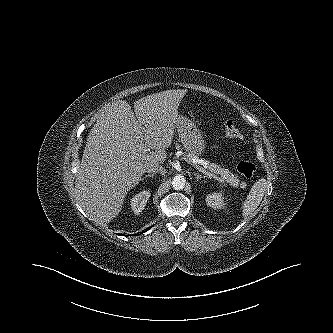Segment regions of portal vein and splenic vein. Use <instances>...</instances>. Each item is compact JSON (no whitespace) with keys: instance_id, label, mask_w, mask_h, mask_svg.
<instances>
[{"instance_id":"18ae733b","label":"portal vein and splenic vein","mask_w":333,"mask_h":333,"mask_svg":"<svg viewBox=\"0 0 333 333\" xmlns=\"http://www.w3.org/2000/svg\"><path fill=\"white\" fill-rule=\"evenodd\" d=\"M146 151H149V149H147ZM191 161H192V163H194V164H202V165L207 164V163L204 162V160H202V159H196V158H194V159H191ZM200 171H201L203 174H205L207 177H209V178H213V179L217 180L219 183L224 184V186H227V184H225L224 180H223L222 178L218 177L217 175H215V174H213V173H211V172H209V171H207V170H205V169H203V168H201Z\"/></svg>"}]
</instances>
